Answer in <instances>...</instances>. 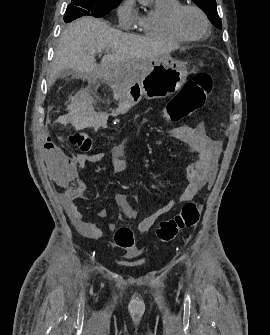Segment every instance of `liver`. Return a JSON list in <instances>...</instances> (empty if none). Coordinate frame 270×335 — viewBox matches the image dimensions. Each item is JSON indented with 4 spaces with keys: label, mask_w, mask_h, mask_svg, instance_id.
I'll list each match as a JSON object with an SVG mask.
<instances>
[{
    "label": "liver",
    "mask_w": 270,
    "mask_h": 335,
    "mask_svg": "<svg viewBox=\"0 0 270 335\" xmlns=\"http://www.w3.org/2000/svg\"><path fill=\"white\" fill-rule=\"evenodd\" d=\"M109 52L97 66L95 54ZM162 44L151 38L126 34L107 26L98 18H79L63 30L53 60L51 78L61 70H76L84 74H109L121 70L128 80H138L147 60L166 54Z\"/></svg>",
    "instance_id": "liver-1"
}]
</instances>
